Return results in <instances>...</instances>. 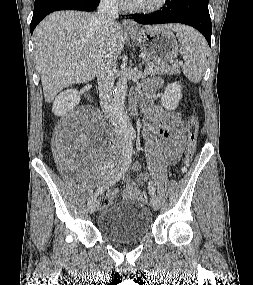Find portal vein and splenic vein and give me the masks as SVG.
I'll list each match as a JSON object with an SVG mask.
<instances>
[{"label":"portal vein and splenic vein","instance_id":"18ae733b","mask_svg":"<svg viewBox=\"0 0 253 285\" xmlns=\"http://www.w3.org/2000/svg\"><path fill=\"white\" fill-rule=\"evenodd\" d=\"M179 63L181 64V62H179ZM151 70H152V67H151V66L146 67L145 70H144V74H145V75L150 74Z\"/></svg>","mask_w":253,"mask_h":285}]
</instances>
